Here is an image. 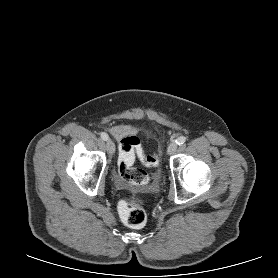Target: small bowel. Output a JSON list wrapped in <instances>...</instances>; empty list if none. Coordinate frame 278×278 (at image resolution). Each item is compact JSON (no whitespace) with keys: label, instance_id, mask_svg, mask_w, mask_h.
Wrapping results in <instances>:
<instances>
[{"label":"small bowel","instance_id":"small-bowel-1","mask_svg":"<svg viewBox=\"0 0 278 278\" xmlns=\"http://www.w3.org/2000/svg\"><path fill=\"white\" fill-rule=\"evenodd\" d=\"M109 131L112 136L119 141L127 137H136L138 134V129L130 124L115 125L112 126Z\"/></svg>","mask_w":278,"mask_h":278}]
</instances>
